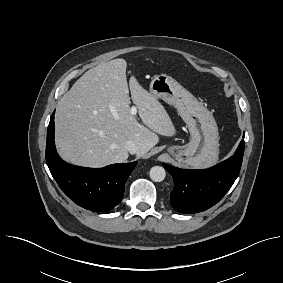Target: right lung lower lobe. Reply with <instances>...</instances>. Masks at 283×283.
<instances>
[{"mask_svg": "<svg viewBox=\"0 0 283 283\" xmlns=\"http://www.w3.org/2000/svg\"><path fill=\"white\" fill-rule=\"evenodd\" d=\"M46 162L62 191L77 205L95 212L114 208L124 194L127 178L137 161L104 168L73 166L63 161L54 144V113L47 130Z\"/></svg>", "mask_w": 283, "mask_h": 283, "instance_id": "98d812e1", "label": "right lung lower lobe"}]
</instances>
